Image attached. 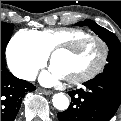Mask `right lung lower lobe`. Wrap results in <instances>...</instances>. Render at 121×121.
<instances>
[{
  "instance_id": "98d812e1",
  "label": "right lung lower lobe",
  "mask_w": 121,
  "mask_h": 121,
  "mask_svg": "<svg viewBox=\"0 0 121 121\" xmlns=\"http://www.w3.org/2000/svg\"><path fill=\"white\" fill-rule=\"evenodd\" d=\"M31 83L16 78L6 69V61L1 58V121H13L20 109L26 92L35 90Z\"/></svg>"
}]
</instances>
